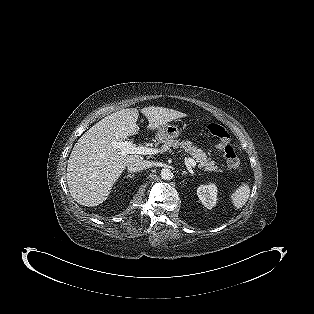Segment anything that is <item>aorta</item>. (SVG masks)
Segmentation results:
<instances>
[{
    "instance_id": "aorta-1",
    "label": "aorta",
    "mask_w": 314,
    "mask_h": 314,
    "mask_svg": "<svg viewBox=\"0 0 314 314\" xmlns=\"http://www.w3.org/2000/svg\"><path fill=\"white\" fill-rule=\"evenodd\" d=\"M160 176L164 180H170L173 178V173L171 172L169 168H163L161 170Z\"/></svg>"
}]
</instances>
